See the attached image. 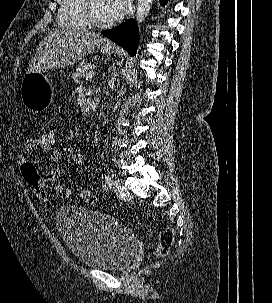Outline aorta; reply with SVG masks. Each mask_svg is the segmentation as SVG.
I'll return each mask as SVG.
<instances>
[{"label": "aorta", "mask_w": 272, "mask_h": 303, "mask_svg": "<svg viewBox=\"0 0 272 303\" xmlns=\"http://www.w3.org/2000/svg\"><path fill=\"white\" fill-rule=\"evenodd\" d=\"M153 0H137L136 20L141 25L149 14Z\"/></svg>", "instance_id": "762f6f07"}]
</instances>
